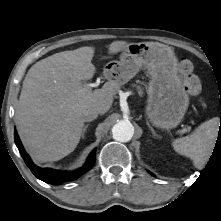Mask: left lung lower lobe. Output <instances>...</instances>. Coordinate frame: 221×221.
Masks as SVG:
<instances>
[{
	"mask_svg": "<svg viewBox=\"0 0 221 221\" xmlns=\"http://www.w3.org/2000/svg\"><path fill=\"white\" fill-rule=\"evenodd\" d=\"M219 142H220V144H221V139H219Z\"/></svg>",
	"mask_w": 221,
	"mask_h": 221,
	"instance_id": "left-lung-lower-lobe-1",
	"label": "left lung lower lobe"
}]
</instances>
